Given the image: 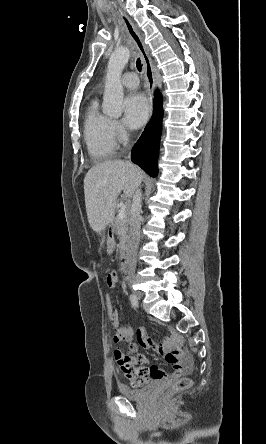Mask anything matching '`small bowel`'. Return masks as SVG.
<instances>
[{
  "mask_svg": "<svg viewBox=\"0 0 266 444\" xmlns=\"http://www.w3.org/2000/svg\"><path fill=\"white\" fill-rule=\"evenodd\" d=\"M119 278L116 272H110L106 277L109 287H115ZM114 327V341L126 342L129 344V350L135 353L138 345L134 342L136 337L138 344L145 349H152L164 356L166 361L173 365L171 373H165L158 366H148L147 360L141 355H127L117 347L114 350V358L121 373L129 379L134 387L143 386L151 382H161L164 385L171 384L181 375L189 374L192 370V359L189 355L180 349V339L177 336L165 338L160 344H155L146 335L145 331L138 329L135 333L130 327L121 324L120 315L110 319Z\"/></svg>",
  "mask_w": 266,
  "mask_h": 444,
  "instance_id": "c3829d8e",
  "label": "small bowel"
}]
</instances>
